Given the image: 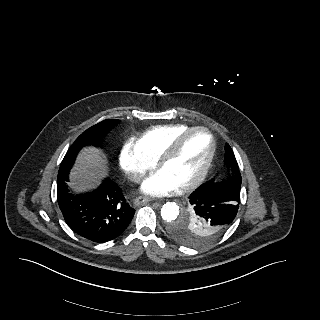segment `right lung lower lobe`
Masks as SVG:
<instances>
[{
  "instance_id": "right-lung-lower-lobe-1",
  "label": "right lung lower lobe",
  "mask_w": 320,
  "mask_h": 320,
  "mask_svg": "<svg viewBox=\"0 0 320 320\" xmlns=\"http://www.w3.org/2000/svg\"><path fill=\"white\" fill-rule=\"evenodd\" d=\"M68 177L57 182V199L68 226L81 237L96 243L115 239L127 228L135 210L121 188L109 178L90 193H70Z\"/></svg>"
}]
</instances>
